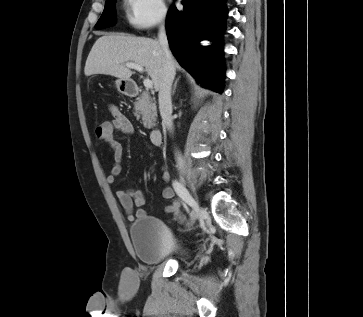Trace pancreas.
I'll list each match as a JSON object with an SVG mask.
<instances>
[{"instance_id": "1", "label": "pancreas", "mask_w": 363, "mask_h": 317, "mask_svg": "<svg viewBox=\"0 0 363 317\" xmlns=\"http://www.w3.org/2000/svg\"><path fill=\"white\" fill-rule=\"evenodd\" d=\"M134 109V115L137 118L142 117L144 127L151 129L156 125L157 109L147 92H143L137 98V101L134 102Z\"/></svg>"}]
</instances>
